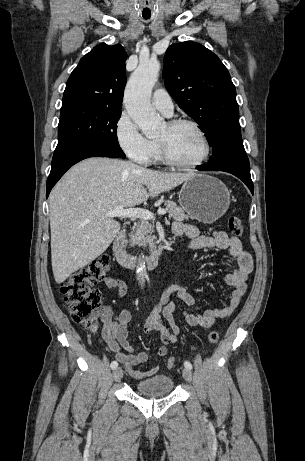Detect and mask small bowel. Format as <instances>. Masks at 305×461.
I'll use <instances>...</instances> for the list:
<instances>
[{
  "label": "small bowel",
  "mask_w": 305,
  "mask_h": 461,
  "mask_svg": "<svg viewBox=\"0 0 305 461\" xmlns=\"http://www.w3.org/2000/svg\"><path fill=\"white\" fill-rule=\"evenodd\" d=\"M172 231L177 237L185 235L189 238L186 251L212 248L227 249L236 261V269L225 277L226 284L233 287L227 306L208 309L201 314L184 311V318L190 326L210 328L217 320L230 316L239 306L247 291L248 275L253 269L252 257L243 249L239 238L230 236L223 230H216L212 235H203L195 225L176 221L173 223ZM104 284L108 289L115 290L120 297L127 293L126 284L122 279L107 277L104 279ZM172 295H176L188 306L195 303V297L180 282L176 281L165 288L157 306L150 313L144 325L145 333H156L159 337L160 345L156 350L159 357L167 355V346L175 343L181 333V329L174 319V312L178 308V304L171 301ZM102 321L101 341L114 353L115 359L123 364L130 376L144 379L158 372V366L144 371L137 369V366L148 361L149 354L146 351H137L127 340V327L131 321V313L128 309H123L113 316L111 308L106 306L102 309Z\"/></svg>",
  "instance_id": "c3829d8e"
}]
</instances>
